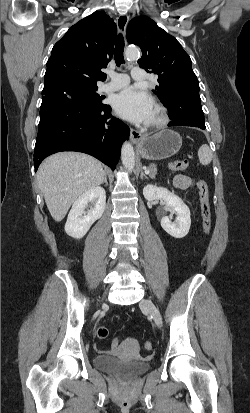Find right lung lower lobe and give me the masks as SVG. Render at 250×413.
Listing matches in <instances>:
<instances>
[{
	"instance_id": "1",
	"label": "right lung lower lobe",
	"mask_w": 250,
	"mask_h": 413,
	"mask_svg": "<svg viewBox=\"0 0 250 413\" xmlns=\"http://www.w3.org/2000/svg\"><path fill=\"white\" fill-rule=\"evenodd\" d=\"M130 129L112 117L111 107L55 101L41 106L34 150L35 172L44 158L60 151L90 154L115 169Z\"/></svg>"
}]
</instances>
